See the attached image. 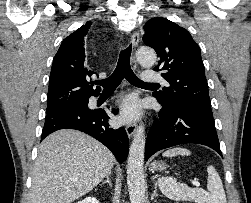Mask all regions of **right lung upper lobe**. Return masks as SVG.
<instances>
[{
  "label": "right lung upper lobe",
  "mask_w": 251,
  "mask_h": 203,
  "mask_svg": "<svg viewBox=\"0 0 251 203\" xmlns=\"http://www.w3.org/2000/svg\"><path fill=\"white\" fill-rule=\"evenodd\" d=\"M91 23L87 22L62 42L56 53L49 81L47 112L79 103L99 94L100 87L93 89L91 75L85 62V36Z\"/></svg>",
  "instance_id": "1"
}]
</instances>
